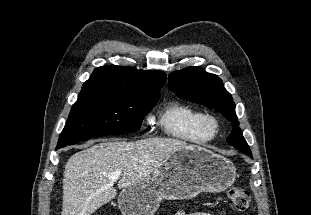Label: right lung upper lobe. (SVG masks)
I'll return each mask as SVG.
<instances>
[{
  "mask_svg": "<svg viewBox=\"0 0 311 215\" xmlns=\"http://www.w3.org/2000/svg\"><path fill=\"white\" fill-rule=\"evenodd\" d=\"M166 74L159 70H137L132 67L104 66L94 70L83 84L82 92L103 91L134 97H160Z\"/></svg>",
  "mask_w": 311,
  "mask_h": 215,
  "instance_id": "1",
  "label": "right lung upper lobe"
}]
</instances>
